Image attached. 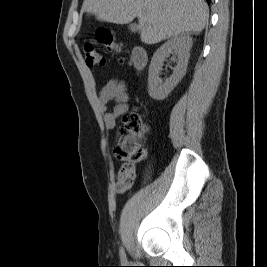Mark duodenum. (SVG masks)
<instances>
[{
	"mask_svg": "<svg viewBox=\"0 0 267 267\" xmlns=\"http://www.w3.org/2000/svg\"><path fill=\"white\" fill-rule=\"evenodd\" d=\"M132 62L136 69H142L147 63V53L142 47H136L132 51Z\"/></svg>",
	"mask_w": 267,
	"mask_h": 267,
	"instance_id": "duodenum-1",
	"label": "duodenum"
}]
</instances>
